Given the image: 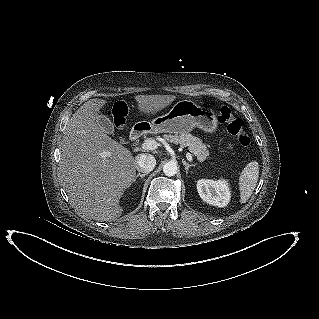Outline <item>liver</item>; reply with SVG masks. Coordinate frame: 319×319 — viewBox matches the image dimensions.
<instances>
[{"mask_svg":"<svg viewBox=\"0 0 319 319\" xmlns=\"http://www.w3.org/2000/svg\"><path fill=\"white\" fill-rule=\"evenodd\" d=\"M173 95H138V110L155 114ZM106 100L91 99L71 117L60 144L61 181L76 213L97 221L120 217L119 202L136 176L137 157L107 135L97 124Z\"/></svg>","mask_w":319,"mask_h":319,"instance_id":"liver-1","label":"liver"}]
</instances>
